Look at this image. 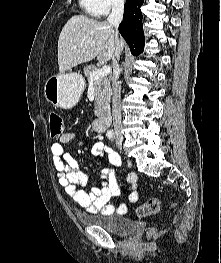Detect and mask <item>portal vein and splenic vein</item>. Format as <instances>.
Masks as SVG:
<instances>
[{
    "label": "portal vein and splenic vein",
    "mask_w": 221,
    "mask_h": 263,
    "mask_svg": "<svg viewBox=\"0 0 221 263\" xmlns=\"http://www.w3.org/2000/svg\"><path fill=\"white\" fill-rule=\"evenodd\" d=\"M111 71L110 66H102L100 69H98L96 72L91 74V80L99 79L101 77H104L108 75Z\"/></svg>",
    "instance_id": "portal-vein-and-splenic-vein-1"
}]
</instances>
